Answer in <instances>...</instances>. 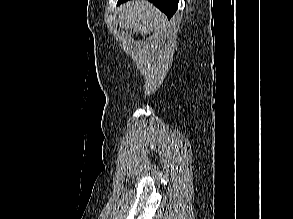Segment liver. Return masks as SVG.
Returning <instances> with one entry per match:
<instances>
[{"mask_svg":"<svg viewBox=\"0 0 293 219\" xmlns=\"http://www.w3.org/2000/svg\"><path fill=\"white\" fill-rule=\"evenodd\" d=\"M166 16L146 0H134L120 6L119 26L134 33L146 35L158 29Z\"/></svg>","mask_w":293,"mask_h":219,"instance_id":"liver-1","label":"liver"}]
</instances>
